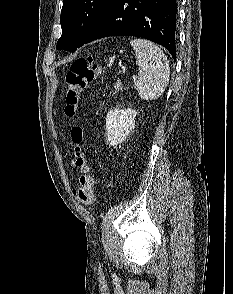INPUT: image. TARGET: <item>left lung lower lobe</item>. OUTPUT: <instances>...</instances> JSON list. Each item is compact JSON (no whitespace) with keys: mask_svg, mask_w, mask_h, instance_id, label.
I'll use <instances>...</instances> for the list:
<instances>
[{"mask_svg":"<svg viewBox=\"0 0 233 294\" xmlns=\"http://www.w3.org/2000/svg\"><path fill=\"white\" fill-rule=\"evenodd\" d=\"M176 0H111L85 43L136 36L164 46L176 58Z\"/></svg>","mask_w":233,"mask_h":294,"instance_id":"1","label":"left lung lower lobe"}]
</instances>
